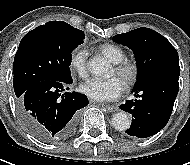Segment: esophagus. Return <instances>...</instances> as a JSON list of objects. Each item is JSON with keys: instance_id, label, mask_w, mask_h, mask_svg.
Segmentation results:
<instances>
[{"instance_id": "esophagus-1", "label": "esophagus", "mask_w": 190, "mask_h": 165, "mask_svg": "<svg viewBox=\"0 0 190 165\" xmlns=\"http://www.w3.org/2000/svg\"><path fill=\"white\" fill-rule=\"evenodd\" d=\"M99 106L106 108L107 111H109V112H116L118 110L117 107L114 105L99 104Z\"/></svg>"}]
</instances>
